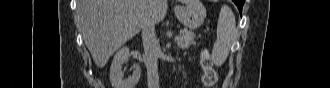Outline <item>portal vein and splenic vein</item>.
I'll list each match as a JSON object with an SVG mask.
<instances>
[{"label":"portal vein and splenic vein","mask_w":330,"mask_h":88,"mask_svg":"<svg viewBox=\"0 0 330 88\" xmlns=\"http://www.w3.org/2000/svg\"><path fill=\"white\" fill-rule=\"evenodd\" d=\"M176 40H177V41H179V40H180V37H179V36H178V37H176Z\"/></svg>","instance_id":"portal-vein-and-splenic-vein-1"}]
</instances>
